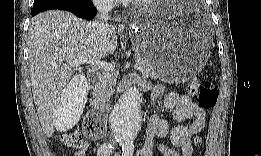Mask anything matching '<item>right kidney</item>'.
<instances>
[{
    "label": "right kidney",
    "instance_id": "obj_1",
    "mask_svg": "<svg viewBox=\"0 0 261 156\" xmlns=\"http://www.w3.org/2000/svg\"><path fill=\"white\" fill-rule=\"evenodd\" d=\"M86 81L85 77H81V82Z\"/></svg>",
    "mask_w": 261,
    "mask_h": 156
}]
</instances>
